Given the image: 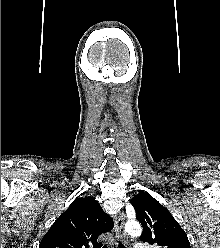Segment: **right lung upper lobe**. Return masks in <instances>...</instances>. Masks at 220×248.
Returning a JSON list of instances; mask_svg holds the SVG:
<instances>
[{
  "label": "right lung upper lobe",
  "mask_w": 220,
  "mask_h": 248,
  "mask_svg": "<svg viewBox=\"0 0 220 248\" xmlns=\"http://www.w3.org/2000/svg\"><path fill=\"white\" fill-rule=\"evenodd\" d=\"M112 228V219L95 199L77 198L54 222L39 248H101L98 237Z\"/></svg>",
  "instance_id": "right-lung-upper-lobe-1"
}]
</instances>
